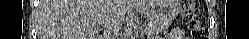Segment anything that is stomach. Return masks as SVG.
<instances>
[{
  "label": "stomach",
  "mask_w": 249,
  "mask_h": 39,
  "mask_svg": "<svg viewBox=\"0 0 249 39\" xmlns=\"http://www.w3.org/2000/svg\"><path fill=\"white\" fill-rule=\"evenodd\" d=\"M139 11L154 19L170 21L180 11L179 0H144Z\"/></svg>",
  "instance_id": "0dacf381"
}]
</instances>
